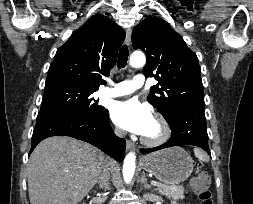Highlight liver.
<instances>
[{"instance_id": "6515ba94", "label": "liver", "mask_w": 253, "mask_h": 204, "mask_svg": "<svg viewBox=\"0 0 253 204\" xmlns=\"http://www.w3.org/2000/svg\"><path fill=\"white\" fill-rule=\"evenodd\" d=\"M107 162L92 145L67 136L44 139L28 162L31 204H77L95 186Z\"/></svg>"}]
</instances>
